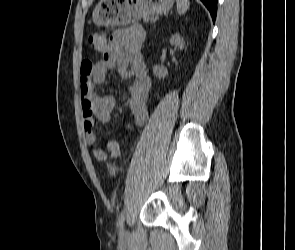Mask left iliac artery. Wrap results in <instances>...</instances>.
<instances>
[{
	"mask_svg": "<svg viewBox=\"0 0 295 250\" xmlns=\"http://www.w3.org/2000/svg\"><path fill=\"white\" fill-rule=\"evenodd\" d=\"M124 220H125V211L122 210L117 220V226L119 229L123 226Z\"/></svg>",
	"mask_w": 295,
	"mask_h": 250,
	"instance_id": "44dca946",
	"label": "left iliac artery"
}]
</instances>
